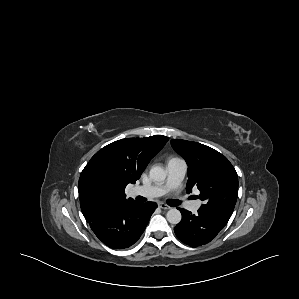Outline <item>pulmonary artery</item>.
<instances>
[{
    "instance_id": "e3ab8cb5",
    "label": "pulmonary artery",
    "mask_w": 299,
    "mask_h": 299,
    "mask_svg": "<svg viewBox=\"0 0 299 299\" xmlns=\"http://www.w3.org/2000/svg\"><path fill=\"white\" fill-rule=\"evenodd\" d=\"M186 171L187 165L185 161L179 158H173L169 160L167 164L168 176L163 185L136 187L133 189V194L149 198L162 196L168 191L176 189L181 184L185 177ZM186 206L191 211H197L200 207V202H188Z\"/></svg>"
}]
</instances>
